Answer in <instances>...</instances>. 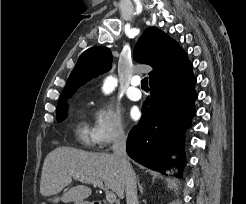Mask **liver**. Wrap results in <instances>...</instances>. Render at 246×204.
<instances>
[{"label": "liver", "instance_id": "6515ba94", "mask_svg": "<svg viewBox=\"0 0 246 204\" xmlns=\"http://www.w3.org/2000/svg\"><path fill=\"white\" fill-rule=\"evenodd\" d=\"M100 179L108 189L114 191L122 199L125 183L123 171L114 158L107 153H92L70 147H57L45 158L40 193L53 203L81 202L87 199L92 190L85 185H77L66 191L62 196L57 194L72 183V177Z\"/></svg>", "mask_w": 246, "mask_h": 204}]
</instances>
